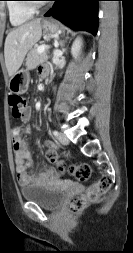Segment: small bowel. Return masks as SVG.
<instances>
[{
	"instance_id": "obj_1",
	"label": "small bowel",
	"mask_w": 133,
	"mask_h": 253,
	"mask_svg": "<svg viewBox=\"0 0 133 253\" xmlns=\"http://www.w3.org/2000/svg\"><path fill=\"white\" fill-rule=\"evenodd\" d=\"M47 69L41 70V75L47 74ZM31 117V110L26 108L24 121H28ZM30 133V128L26 127H14L12 130V146L14 151L15 169L17 179L20 185L26 186L31 184H39L48 180L50 177L58 176L60 173L52 167H46L40 172L33 171V162L31 159V150L24 135ZM45 146L50 150H55V145L51 141H45Z\"/></svg>"
}]
</instances>
